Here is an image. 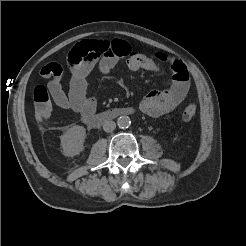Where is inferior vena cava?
<instances>
[{
	"label": "inferior vena cava",
	"mask_w": 246,
	"mask_h": 246,
	"mask_svg": "<svg viewBox=\"0 0 246 246\" xmlns=\"http://www.w3.org/2000/svg\"><path fill=\"white\" fill-rule=\"evenodd\" d=\"M116 128V123L111 120H107L103 124V130L105 132H112Z\"/></svg>",
	"instance_id": "1"
}]
</instances>
